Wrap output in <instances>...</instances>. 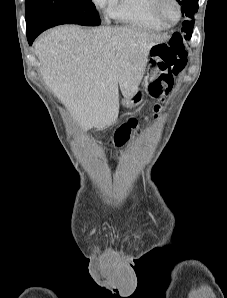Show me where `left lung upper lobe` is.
<instances>
[{"label": "left lung upper lobe", "instance_id": "obj_1", "mask_svg": "<svg viewBox=\"0 0 227 298\" xmlns=\"http://www.w3.org/2000/svg\"><path fill=\"white\" fill-rule=\"evenodd\" d=\"M181 5L183 16L189 18L185 20L182 25V31L185 33V39H190L194 26V14L198 10V0H176Z\"/></svg>", "mask_w": 227, "mask_h": 298}]
</instances>
